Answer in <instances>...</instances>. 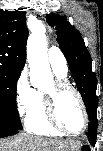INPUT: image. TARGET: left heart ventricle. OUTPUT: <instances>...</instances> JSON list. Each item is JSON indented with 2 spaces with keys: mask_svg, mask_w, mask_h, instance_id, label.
<instances>
[{
  "mask_svg": "<svg viewBox=\"0 0 103 151\" xmlns=\"http://www.w3.org/2000/svg\"><path fill=\"white\" fill-rule=\"evenodd\" d=\"M50 86L46 91L52 90ZM57 118L68 130L78 132L83 128L84 117L81 105L71 91L62 92L57 99Z\"/></svg>",
  "mask_w": 103,
  "mask_h": 151,
  "instance_id": "obj_1",
  "label": "left heart ventricle"
}]
</instances>
